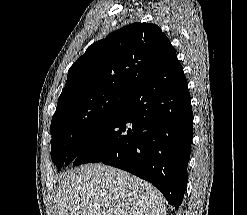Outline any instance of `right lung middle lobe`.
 I'll list each match as a JSON object with an SVG mask.
<instances>
[{
    "mask_svg": "<svg viewBox=\"0 0 247 215\" xmlns=\"http://www.w3.org/2000/svg\"><path fill=\"white\" fill-rule=\"evenodd\" d=\"M131 93L105 91L67 97L57 104L51 121V158L58 170L78 141L121 112Z\"/></svg>",
    "mask_w": 247,
    "mask_h": 215,
    "instance_id": "obj_1",
    "label": "right lung middle lobe"
}]
</instances>
